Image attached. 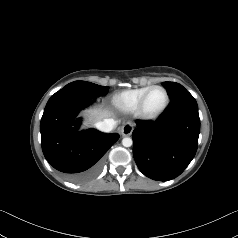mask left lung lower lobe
<instances>
[{"mask_svg": "<svg viewBox=\"0 0 238 238\" xmlns=\"http://www.w3.org/2000/svg\"><path fill=\"white\" fill-rule=\"evenodd\" d=\"M200 132L198 105L185 91L171 100L155 122L133 131V156L147 177L168 181L179 176L196 154Z\"/></svg>", "mask_w": 238, "mask_h": 238, "instance_id": "1", "label": "left lung lower lobe"}]
</instances>
